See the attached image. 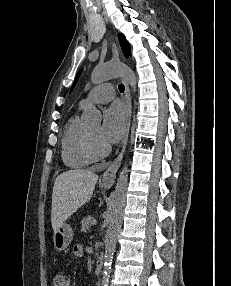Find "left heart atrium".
Segmentation results:
<instances>
[{"label":"left heart atrium","instance_id":"1","mask_svg":"<svg viewBox=\"0 0 231 286\" xmlns=\"http://www.w3.org/2000/svg\"><path fill=\"white\" fill-rule=\"evenodd\" d=\"M127 124L126 108L120 103L113 104L104 113L103 123L99 130L100 140L105 146L117 143L124 136Z\"/></svg>","mask_w":231,"mask_h":286}]
</instances>
